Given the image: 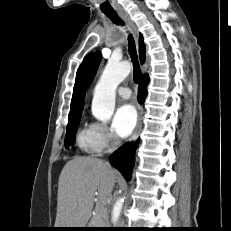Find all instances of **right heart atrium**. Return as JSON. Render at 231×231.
Listing matches in <instances>:
<instances>
[{
    "label": "right heart atrium",
    "mask_w": 231,
    "mask_h": 231,
    "mask_svg": "<svg viewBox=\"0 0 231 231\" xmlns=\"http://www.w3.org/2000/svg\"><path fill=\"white\" fill-rule=\"evenodd\" d=\"M93 125L96 129L97 137L102 150H110L116 146L117 138L111 128L101 123H95Z\"/></svg>",
    "instance_id": "right-heart-atrium-1"
}]
</instances>
